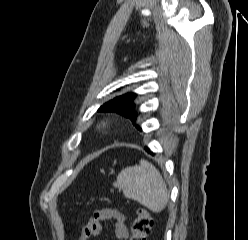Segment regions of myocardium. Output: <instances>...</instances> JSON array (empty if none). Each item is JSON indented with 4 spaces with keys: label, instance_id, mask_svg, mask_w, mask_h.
<instances>
[{
    "label": "myocardium",
    "instance_id": "myocardium-1",
    "mask_svg": "<svg viewBox=\"0 0 248 240\" xmlns=\"http://www.w3.org/2000/svg\"><path fill=\"white\" fill-rule=\"evenodd\" d=\"M109 125V121L108 120H101L99 123V128L104 129Z\"/></svg>",
    "mask_w": 248,
    "mask_h": 240
}]
</instances>
